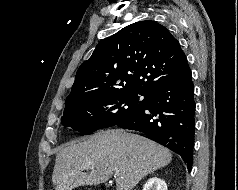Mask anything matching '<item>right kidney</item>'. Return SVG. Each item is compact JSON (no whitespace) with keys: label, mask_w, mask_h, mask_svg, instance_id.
Segmentation results:
<instances>
[{"label":"right kidney","mask_w":238,"mask_h":190,"mask_svg":"<svg viewBox=\"0 0 238 190\" xmlns=\"http://www.w3.org/2000/svg\"><path fill=\"white\" fill-rule=\"evenodd\" d=\"M142 190H167V185L164 180L153 177L145 183Z\"/></svg>","instance_id":"right-kidney-1"}]
</instances>
